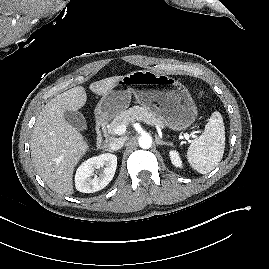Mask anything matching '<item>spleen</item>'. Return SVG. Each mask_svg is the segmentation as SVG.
<instances>
[{"instance_id": "1", "label": "spleen", "mask_w": 269, "mask_h": 269, "mask_svg": "<svg viewBox=\"0 0 269 269\" xmlns=\"http://www.w3.org/2000/svg\"><path fill=\"white\" fill-rule=\"evenodd\" d=\"M225 127L220 112L212 113L203 134L195 139L187 150L190 166L200 174L215 169L224 154Z\"/></svg>"}]
</instances>
